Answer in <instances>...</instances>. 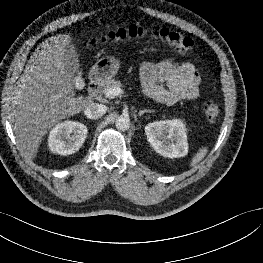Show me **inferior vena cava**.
<instances>
[{"label": "inferior vena cava", "mask_w": 263, "mask_h": 263, "mask_svg": "<svg viewBox=\"0 0 263 263\" xmlns=\"http://www.w3.org/2000/svg\"><path fill=\"white\" fill-rule=\"evenodd\" d=\"M107 111V107L99 103H90L84 110V114L89 119H98Z\"/></svg>", "instance_id": "obj_1"}]
</instances>
